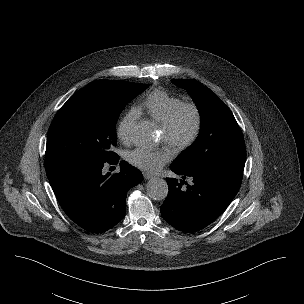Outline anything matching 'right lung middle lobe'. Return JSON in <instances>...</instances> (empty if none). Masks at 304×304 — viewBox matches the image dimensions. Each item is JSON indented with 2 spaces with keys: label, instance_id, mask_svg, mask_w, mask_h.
Instances as JSON below:
<instances>
[{
  "label": "right lung middle lobe",
  "instance_id": "obj_1",
  "mask_svg": "<svg viewBox=\"0 0 304 304\" xmlns=\"http://www.w3.org/2000/svg\"><path fill=\"white\" fill-rule=\"evenodd\" d=\"M149 84L97 80L76 92L55 115L47 134L46 168L111 162L115 124L125 105Z\"/></svg>",
  "mask_w": 304,
  "mask_h": 304
}]
</instances>
